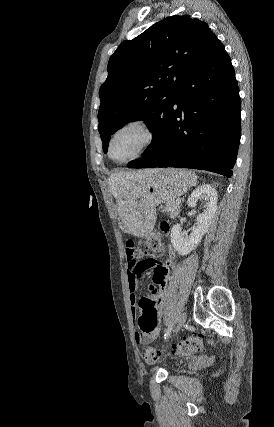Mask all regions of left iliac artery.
I'll list each match as a JSON object with an SVG mask.
<instances>
[{
	"label": "left iliac artery",
	"instance_id": "1",
	"mask_svg": "<svg viewBox=\"0 0 274 427\" xmlns=\"http://www.w3.org/2000/svg\"><path fill=\"white\" fill-rule=\"evenodd\" d=\"M172 329H173V324H170L168 326V328L166 329L165 334H164V339L165 340L170 336V333H171Z\"/></svg>",
	"mask_w": 274,
	"mask_h": 427
}]
</instances>
